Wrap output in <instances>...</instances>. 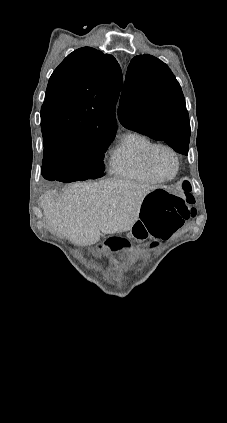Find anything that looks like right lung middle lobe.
<instances>
[{"instance_id": "obj_1", "label": "right lung middle lobe", "mask_w": 227, "mask_h": 423, "mask_svg": "<svg viewBox=\"0 0 227 423\" xmlns=\"http://www.w3.org/2000/svg\"><path fill=\"white\" fill-rule=\"evenodd\" d=\"M113 136H74L44 142V162L68 166L74 181L96 179L103 176L104 153Z\"/></svg>"}]
</instances>
